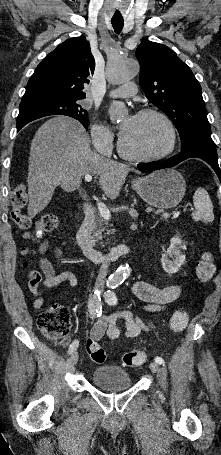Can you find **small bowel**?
I'll use <instances>...</instances> for the list:
<instances>
[{
	"label": "small bowel",
	"mask_w": 221,
	"mask_h": 455,
	"mask_svg": "<svg viewBox=\"0 0 221 455\" xmlns=\"http://www.w3.org/2000/svg\"><path fill=\"white\" fill-rule=\"evenodd\" d=\"M49 247L47 242L43 243L40 251L44 254ZM58 259L62 256L60 248L55 250ZM40 266L44 272V279L40 274L34 272L29 277L28 288L31 295L35 298V307L40 308L44 303L41 295L43 289H49L65 282L69 289L76 287L78 279L70 271L62 270L57 272L54 264L46 257H41ZM133 294L144 304L147 311H159L173 305L182 292V285L175 284L165 287H158L145 281H136L132 286ZM118 319H122L126 325L125 335L134 338L149 330L143 320L127 310H120L113 314L102 315L91 328L90 336L95 340H100L106 336L110 340H116L120 336L117 326Z\"/></svg>",
	"instance_id": "small-bowel-1"
}]
</instances>
